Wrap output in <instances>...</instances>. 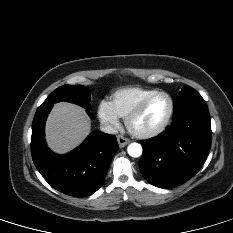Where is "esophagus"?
<instances>
[{"label":"esophagus","instance_id":"obj_1","mask_svg":"<svg viewBox=\"0 0 233 233\" xmlns=\"http://www.w3.org/2000/svg\"><path fill=\"white\" fill-rule=\"evenodd\" d=\"M117 141L120 148L125 147L127 144L130 143V140L122 135L117 136Z\"/></svg>","mask_w":233,"mask_h":233}]
</instances>
